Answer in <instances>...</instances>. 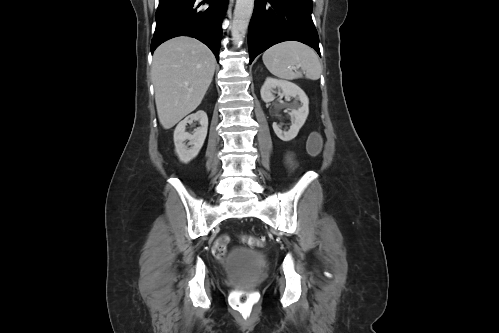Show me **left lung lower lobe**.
<instances>
[{
    "label": "left lung lower lobe",
    "instance_id": "1",
    "mask_svg": "<svg viewBox=\"0 0 499 333\" xmlns=\"http://www.w3.org/2000/svg\"><path fill=\"white\" fill-rule=\"evenodd\" d=\"M312 0H255L249 24L250 63L269 47L299 41L320 55L319 37L312 21Z\"/></svg>",
    "mask_w": 499,
    "mask_h": 333
}]
</instances>
